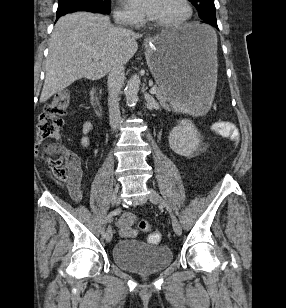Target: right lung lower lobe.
<instances>
[{"mask_svg": "<svg viewBox=\"0 0 286 308\" xmlns=\"http://www.w3.org/2000/svg\"><path fill=\"white\" fill-rule=\"evenodd\" d=\"M76 11H88V12L102 13V14H108L110 12V10L94 8V7L69 8V9L57 11V19L66 13H71V12H76Z\"/></svg>", "mask_w": 286, "mask_h": 308, "instance_id": "obj_1", "label": "right lung lower lobe"}]
</instances>
